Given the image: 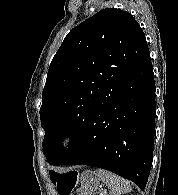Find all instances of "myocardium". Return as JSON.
<instances>
[{
	"mask_svg": "<svg viewBox=\"0 0 178 195\" xmlns=\"http://www.w3.org/2000/svg\"><path fill=\"white\" fill-rule=\"evenodd\" d=\"M70 141V136L69 135H63L61 138H60V141H59V144L61 146H65L69 143Z\"/></svg>",
	"mask_w": 178,
	"mask_h": 195,
	"instance_id": "obj_1",
	"label": "myocardium"
}]
</instances>
